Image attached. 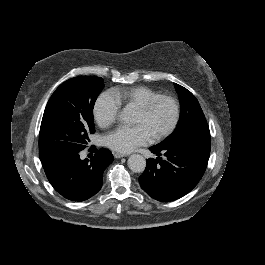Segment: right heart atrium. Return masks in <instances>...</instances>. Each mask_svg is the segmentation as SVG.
I'll return each instance as SVG.
<instances>
[{
  "instance_id": "1",
  "label": "right heart atrium",
  "mask_w": 265,
  "mask_h": 265,
  "mask_svg": "<svg viewBox=\"0 0 265 265\" xmlns=\"http://www.w3.org/2000/svg\"><path fill=\"white\" fill-rule=\"evenodd\" d=\"M120 106L109 93H102L93 106V117L96 123L102 127L114 124L119 117Z\"/></svg>"
}]
</instances>
